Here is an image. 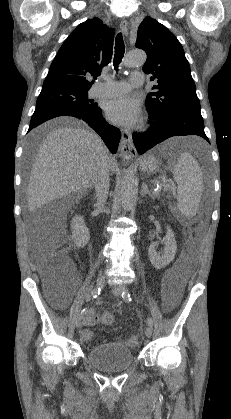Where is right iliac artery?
<instances>
[{
  "label": "right iliac artery",
  "instance_id": "82829eb1",
  "mask_svg": "<svg viewBox=\"0 0 231 419\" xmlns=\"http://www.w3.org/2000/svg\"><path fill=\"white\" fill-rule=\"evenodd\" d=\"M100 292H101V288L100 287L99 288H95L92 291V293H91L92 299L97 298L99 296ZM81 313L86 314L87 313V308H84Z\"/></svg>",
  "mask_w": 231,
  "mask_h": 419
}]
</instances>
